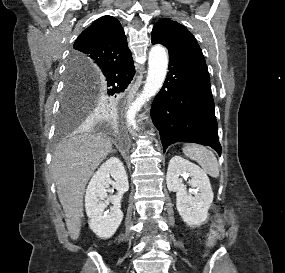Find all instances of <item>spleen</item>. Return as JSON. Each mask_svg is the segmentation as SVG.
I'll return each mask as SVG.
<instances>
[{"label": "spleen", "mask_w": 285, "mask_h": 273, "mask_svg": "<svg viewBox=\"0 0 285 273\" xmlns=\"http://www.w3.org/2000/svg\"><path fill=\"white\" fill-rule=\"evenodd\" d=\"M183 153L190 159L196 161L212 177L219 176L218 161L210 150L198 144H188L183 148Z\"/></svg>", "instance_id": "obj_1"}]
</instances>
